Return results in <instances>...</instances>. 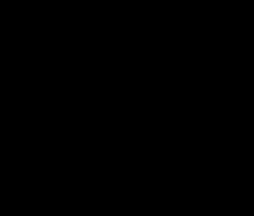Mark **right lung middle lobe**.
<instances>
[{
    "label": "right lung middle lobe",
    "instance_id": "obj_1",
    "mask_svg": "<svg viewBox=\"0 0 254 216\" xmlns=\"http://www.w3.org/2000/svg\"><path fill=\"white\" fill-rule=\"evenodd\" d=\"M98 65L86 54L71 53L51 70L43 96L42 119L69 116L92 120L102 115L100 87L102 81Z\"/></svg>",
    "mask_w": 254,
    "mask_h": 216
}]
</instances>
